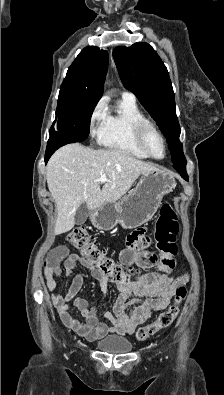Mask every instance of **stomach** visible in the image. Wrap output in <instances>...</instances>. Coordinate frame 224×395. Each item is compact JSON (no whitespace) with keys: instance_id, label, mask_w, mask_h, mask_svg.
<instances>
[{"instance_id":"0dacf381","label":"stomach","mask_w":224,"mask_h":395,"mask_svg":"<svg viewBox=\"0 0 224 395\" xmlns=\"http://www.w3.org/2000/svg\"><path fill=\"white\" fill-rule=\"evenodd\" d=\"M175 186V178L170 171L156 169L146 172L127 196L95 209L90 220L102 230H110L117 224L124 229L137 228L154 216L163 196L172 192Z\"/></svg>"}]
</instances>
